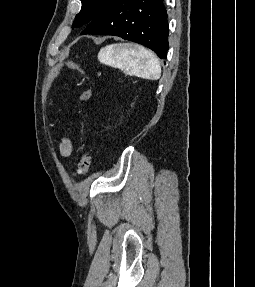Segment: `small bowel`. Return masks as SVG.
<instances>
[{"label": "small bowel", "instance_id": "small-bowel-1", "mask_svg": "<svg viewBox=\"0 0 255 287\" xmlns=\"http://www.w3.org/2000/svg\"><path fill=\"white\" fill-rule=\"evenodd\" d=\"M73 150V142L70 138H63L59 145V152L61 157L67 158L71 155Z\"/></svg>", "mask_w": 255, "mask_h": 287}]
</instances>
